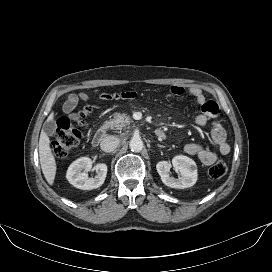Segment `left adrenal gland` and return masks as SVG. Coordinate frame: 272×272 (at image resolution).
<instances>
[{
  "instance_id": "a2214340",
  "label": "left adrenal gland",
  "mask_w": 272,
  "mask_h": 272,
  "mask_svg": "<svg viewBox=\"0 0 272 272\" xmlns=\"http://www.w3.org/2000/svg\"><path fill=\"white\" fill-rule=\"evenodd\" d=\"M157 147H160V148H162L163 146H162V145H159V144H158V145H157Z\"/></svg>"
}]
</instances>
